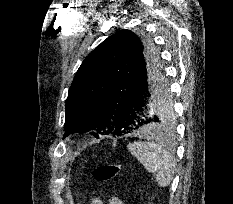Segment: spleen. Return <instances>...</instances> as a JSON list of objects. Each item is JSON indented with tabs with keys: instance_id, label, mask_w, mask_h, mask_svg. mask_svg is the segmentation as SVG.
<instances>
[{
	"instance_id": "3e777b00",
	"label": "spleen",
	"mask_w": 233,
	"mask_h": 204,
	"mask_svg": "<svg viewBox=\"0 0 233 204\" xmlns=\"http://www.w3.org/2000/svg\"><path fill=\"white\" fill-rule=\"evenodd\" d=\"M130 153L153 173L159 187H167L175 173V159L171 152L155 142L137 141L128 145Z\"/></svg>"
}]
</instances>
